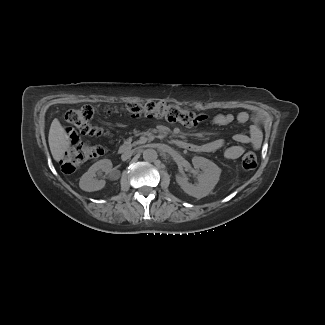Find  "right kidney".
I'll return each instance as SVG.
<instances>
[{
  "mask_svg": "<svg viewBox=\"0 0 325 325\" xmlns=\"http://www.w3.org/2000/svg\"><path fill=\"white\" fill-rule=\"evenodd\" d=\"M112 162L109 159H102L94 163L86 173H84L79 181V187L87 192H93L102 189L105 186V180L98 179L96 176H101L100 172L110 173Z\"/></svg>",
  "mask_w": 325,
  "mask_h": 325,
  "instance_id": "obj_1",
  "label": "right kidney"
}]
</instances>
